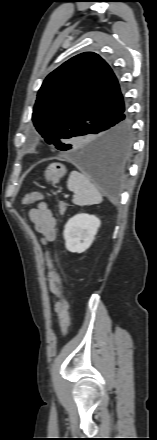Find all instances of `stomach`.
<instances>
[{"instance_id": "1", "label": "stomach", "mask_w": 157, "mask_h": 440, "mask_svg": "<svg viewBox=\"0 0 157 440\" xmlns=\"http://www.w3.org/2000/svg\"><path fill=\"white\" fill-rule=\"evenodd\" d=\"M67 173L66 167L61 163H51L45 170L44 176L48 182L53 184L58 183L59 180Z\"/></svg>"}]
</instances>
